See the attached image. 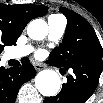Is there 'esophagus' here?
<instances>
[{"mask_svg": "<svg viewBox=\"0 0 103 103\" xmlns=\"http://www.w3.org/2000/svg\"><path fill=\"white\" fill-rule=\"evenodd\" d=\"M34 67L37 71H40L44 68V65L42 63H35Z\"/></svg>", "mask_w": 103, "mask_h": 103, "instance_id": "obj_1", "label": "esophagus"}]
</instances>
